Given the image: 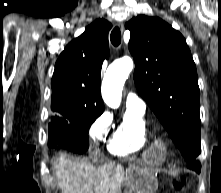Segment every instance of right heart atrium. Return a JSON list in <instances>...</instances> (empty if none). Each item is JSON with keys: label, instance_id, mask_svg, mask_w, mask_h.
<instances>
[{"label": "right heart atrium", "instance_id": "1", "mask_svg": "<svg viewBox=\"0 0 221 193\" xmlns=\"http://www.w3.org/2000/svg\"><path fill=\"white\" fill-rule=\"evenodd\" d=\"M112 117L108 112L101 113L92 123L89 133L92 140L96 143L103 141L110 130Z\"/></svg>", "mask_w": 221, "mask_h": 193}]
</instances>
